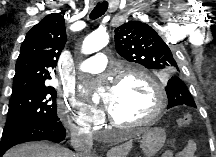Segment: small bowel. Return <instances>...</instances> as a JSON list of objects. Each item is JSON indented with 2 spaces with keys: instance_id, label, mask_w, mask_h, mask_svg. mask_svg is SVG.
I'll return each instance as SVG.
<instances>
[{
  "instance_id": "obj_1",
  "label": "small bowel",
  "mask_w": 216,
  "mask_h": 157,
  "mask_svg": "<svg viewBox=\"0 0 216 157\" xmlns=\"http://www.w3.org/2000/svg\"><path fill=\"white\" fill-rule=\"evenodd\" d=\"M196 151V143L192 140L188 141L185 147L180 150L177 154V157H193ZM167 157L172 156V152H166Z\"/></svg>"
}]
</instances>
